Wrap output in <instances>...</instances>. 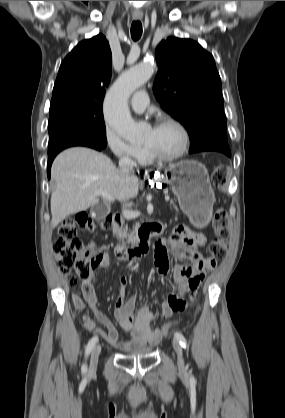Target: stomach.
<instances>
[{
	"label": "stomach",
	"mask_w": 285,
	"mask_h": 418,
	"mask_svg": "<svg viewBox=\"0 0 285 418\" xmlns=\"http://www.w3.org/2000/svg\"><path fill=\"white\" fill-rule=\"evenodd\" d=\"M157 177L170 186L193 225L204 227L210 222L215 198L202 163L184 160L170 165Z\"/></svg>",
	"instance_id": "0dacf381"
}]
</instances>
